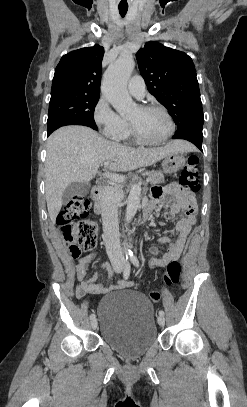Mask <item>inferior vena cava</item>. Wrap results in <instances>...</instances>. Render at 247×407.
<instances>
[{
  "instance_id": "602c4592",
  "label": "inferior vena cava",
  "mask_w": 247,
  "mask_h": 407,
  "mask_svg": "<svg viewBox=\"0 0 247 407\" xmlns=\"http://www.w3.org/2000/svg\"><path fill=\"white\" fill-rule=\"evenodd\" d=\"M103 238L112 264H123L124 257L119 240L118 199L116 190L108 187L101 200Z\"/></svg>"
}]
</instances>
